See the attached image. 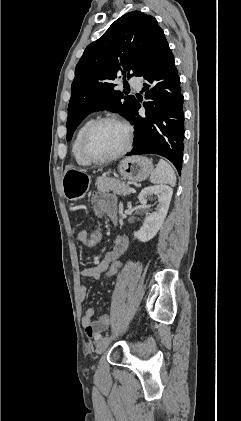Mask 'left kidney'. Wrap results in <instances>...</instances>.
<instances>
[{
    "label": "left kidney",
    "mask_w": 241,
    "mask_h": 421,
    "mask_svg": "<svg viewBox=\"0 0 241 421\" xmlns=\"http://www.w3.org/2000/svg\"><path fill=\"white\" fill-rule=\"evenodd\" d=\"M172 194V188L166 185L149 186L140 192L138 199L143 206L147 198L152 195L158 196V205L155 212L146 216L140 230L134 232L135 238L147 242L157 234L166 218Z\"/></svg>",
    "instance_id": "obj_1"
}]
</instances>
